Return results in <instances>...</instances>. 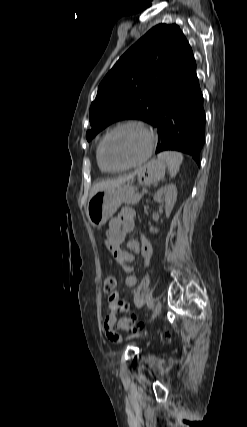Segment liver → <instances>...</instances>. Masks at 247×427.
Segmentation results:
<instances>
[{"mask_svg": "<svg viewBox=\"0 0 247 427\" xmlns=\"http://www.w3.org/2000/svg\"><path fill=\"white\" fill-rule=\"evenodd\" d=\"M135 174L136 173H132L127 176L120 177L114 180H106V181L96 183L95 185H93L91 189L90 198L100 190L112 189L124 184L126 181H129L130 179H132L135 176Z\"/></svg>", "mask_w": 247, "mask_h": 427, "instance_id": "liver-1", "label": "liver"}]
</instances>
